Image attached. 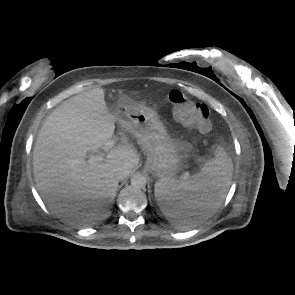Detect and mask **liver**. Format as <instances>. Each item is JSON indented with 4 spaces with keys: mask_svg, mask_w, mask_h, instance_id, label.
Segmentation results:
<instances>
[{
    "mask_svg": "<svg viewBox=\"0 0 295 295\" xmlns=\"http://www.w3.org/2000/svg\"><path fill=\"white\" fill-rule=\"evenodd\" d=\"M115 122L104 89L96 88L64 101L41 127L33 151L35 182L62 220H88L101 214L117 191V169L124 168L129 175L137 166L138 151L124 132H120L123 144L101 162L85 160L88 152L111 140Z\"/></svg>",
    "mask_w": 295,
    "mask_h": 295,
    "instance_id": "6515ba94",
    "label": "liver"
}]
</instances>
